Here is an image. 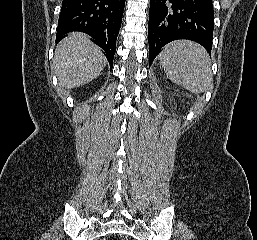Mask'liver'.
<instances>
[{
	"label": "liver",
	"instance_id": "1",
	"mask_svg": "<svg viewBox=\"0 0 257 240\" xmlns=\"http://www.w3.org/2000/svg\"><path fill=\"white\" fill-rule=\"evenodd\" d=\"M107 60L101 49L83 33H71L56 47L54 69L66 89L80 87L95 79Z\"/></svg>",
	"mask_w": 257,
	"mask_h": 240
}]
</instances>
